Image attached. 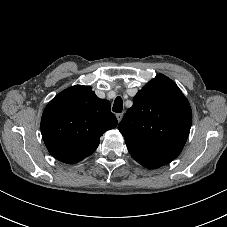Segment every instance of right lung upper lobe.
Returning a JSON list of instances; mask_svg holds the SVG:
<instances>
[{
    "label": "right lung upper lobe",
    "instance_id": "right-lung-upper-lobe-1",
    "mask_svg": "<svg viewBox=\"0 0 227 227\" xmlns=\"http://www.w3.org/2000/svg\"><path fill=\"white\" fill-rule=\"evenodd\" d=\"M117 126L108 100L99 99L90 86L70 87L46 106L41 133L57 160L72 164L91 155L102 134Z\"/></svg>",
    "mask_w": 227,
    "mask_h": 227
}]
</instances>
